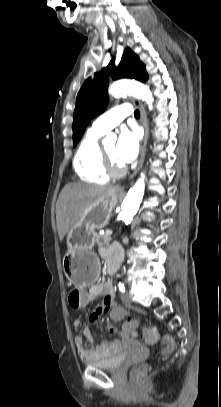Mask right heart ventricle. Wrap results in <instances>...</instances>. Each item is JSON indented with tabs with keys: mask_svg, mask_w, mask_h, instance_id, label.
<instances>
[{
	"mask_svg": "<svg viewBox=\"0 0 221 407\" xmlns=\"http://www.w3.org/2000/svg\"><path fill=\"white\" fill-rule=\"evenodd\" d=\"M101 135L89 130L74 158L76 174L82 181L87 183L104 184L109 179L103 166L102 149L98 143Z\"/></svg>",
	"mask_w": 221,
	"mask_h": 407,
	"instance_id": "obj_1",
	"label": "right heart ventricle"
}]
</instances>
